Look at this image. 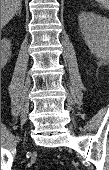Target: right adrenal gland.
Listing matches in <instances>:
<instances>
[{
  "mask_svg": "<svg viewBox=\"0 0 109 170\" xmlns=\"http://www.w3.org/2000/svg\"><path fill=\"white\" fill-rule=\"evenodd\" d=\"M21 10H22V7L20 6L19 10H18V15L21 16Z\"/></svg>",
  "mask_w": 109,
  "mask_h": 170,
  "instance_id": "right-adrenal-gland-1",
  "label": "right adrenal gland"
}]
</instances>
